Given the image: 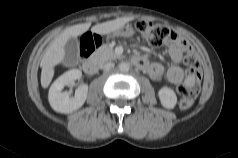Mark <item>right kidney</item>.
Listing matches in <instances>:
<instances>
[{
	"label": "right kidney",
	"mask_w": 238,
	"mask_h": 158,
	"mask_svg": "<svg viewBox=\"0 0 238 158\" xmlns=\"http://www.w3.org/2000/svg\"><path fill=\"white\" fill-rule=\"evenodd\" d=\"M82 72L78 69H72L58 77L49 89V103L54 111L64 114L72 113L82 107L88 94V85L79 86L73 97L63 88L72 81L80 79Z\"/></svg>",
	"instance_id": "1"
}]
</instances>
